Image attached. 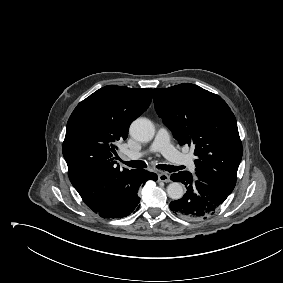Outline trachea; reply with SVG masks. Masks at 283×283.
<instances>
[{"mask_svg":"<svg viewBox=\"0 0 283 283\" xmlns=\"http://www.w3.org/2000/svg\"><path fill=\"white\" fill-rule=\"evenodd\" d=\"M124 163L127 166L132 167V168L142 169V168L147 167L146 163L144 161H140V160L127 161V162H124ZM156 167L159 168V169H162V170H166L168 172H175V171L182 169V167L173 166V165H163V164H158Z\"/></svg>","mask_w":283,"mask_h":283,"instance_id":"obj_1","label":"trachea"}]
</instances>
